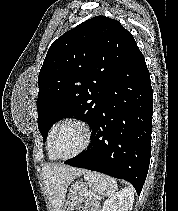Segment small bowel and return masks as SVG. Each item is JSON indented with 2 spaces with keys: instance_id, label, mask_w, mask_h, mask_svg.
Segmentation results:
<instances>
[{
  "instance_id": "c3829d8e",
  "label": "small bowel",
  "mask_w": 178,
  "mask_h": 211,
  "mask_svg": "<svg viewBox=\"0 0 178 211\" xmlns=\"http://www.w3.org/2000/svg\"><path fill=\"white\" fill-rule=\"evenodd\" d=\"M77 211H100V205L96 201H87L85 206L80 207Z\"/></svg>"
}]
</instances>
